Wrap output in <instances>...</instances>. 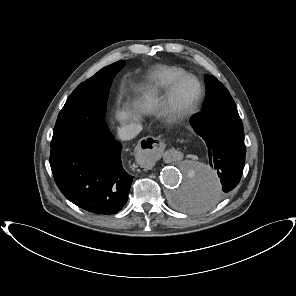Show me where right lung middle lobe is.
Returning a JSON list of instances; mask_svg holds the SVG:
<instances>
[{"instance_id":"dd1d6c3e","label":"right lung middle lobe","mask_w":296,"mask_h":296,"mask_svg":"<svg viewBox=\"0 0 296 296\" xmlns=\"http://www.w3.org/2000/svg\"><path fill=\"white\" fill-rule=\"evenodd\" d=\"M125 65L115 62L77 86L57 118L51 149L69 147L107 135L106 102L112 80Z\"/></svg>"}]
</instances>
